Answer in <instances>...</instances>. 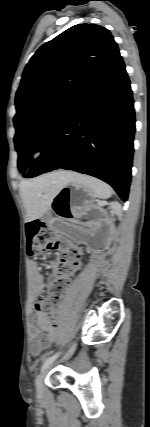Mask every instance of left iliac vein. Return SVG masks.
I'll return each mask as SVG.
<instances>
[{
  "label": "left iliac vein",
  "mask_w": 150,
  "mask_h": 427,
  "mask_svg": "<svg viewBox=\"0 0 150 427\" xmlns=\"http://www.w3.org/2000/svg\"><path fill=\"white\" fill-rule=\"evenodd\" d=\"M75 348H76V344H74V345H73V346L68 350V352H67V353H66V355L64 356L63 360L68 359L69 357H71V356H72V354H73V353H74V351H75ZM47 371H48V367H47L44 371H42V372L39 374V376H38V378H37V380H36V388H37V393H38V395H42V393H43V379H44V377H45V375H46Z\"/></svg>",
  "instance_id": "4c4485c4"
}]
</instances>
